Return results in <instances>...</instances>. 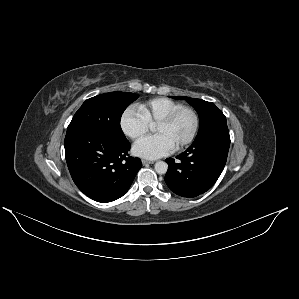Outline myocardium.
I'll use <instances>...</instances> for the list:
<instances>
[{
    "label": "myocardium",
    "mask_w": 299,
    "mask_h": 299,
    "mask_svg": "<svg viewBox=\"0 0 299 299\" xmlns=\"http://www.w3.org/2000/svg\"><path fill=\"white\" fill-rule=\"evenodd\" d=\"M184 111H188L192 114V116L194 118V126H193L192 132L189 135V137L186 140H184L181 144L177 145L175 147L176 150L183 149L194 141V139L198 133L199 127H200V118H199L197 111L192 107L182 106V107L172 111L170 114H168L167 116L162 118L156 124V126L171 124Z\"/></svg>",
    "instance_id": "myocardium-1"
}]
</instances>
